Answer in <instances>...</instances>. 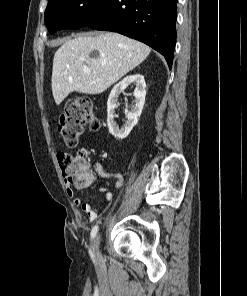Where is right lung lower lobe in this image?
<instances>
[{"label": "right lung lower lobe", "mask_w": 247, "mask_h": 296, "mask_svg": "<svg viewBox=\"0 0 247 296\" xmlns=\"http://www.w3.org/2000/svg\"><path fill=\"white\" fill-rule=\"evenodd\" d=\"M177 1L105 0L100 13L87 26L139 40L160 52L171 68L176 44Z\"/></svg>", "instance_id": "98d812e1"}]
</instances>
